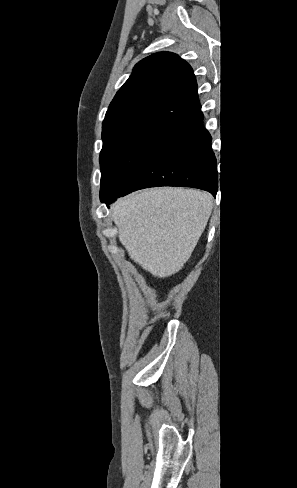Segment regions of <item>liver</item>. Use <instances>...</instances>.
I'll return each mask as SVG.
<instances>
[{"label": "liver", "mask_w": 297, "mask_h": 488, "mask_svg": "<svg viewBox=\"0 0 297 488\" xmlns=\"http://www.w3.org/2000/svg\"><path fill=\"white\" fill-rule=\"evenodd\" d=\"M212 206L206 192L152 188L120 198L112 211L119 240L130 258L153 276L164 278L188 261Z\"/></svg>", "instance_id": "obj_1"}]
</instances>
